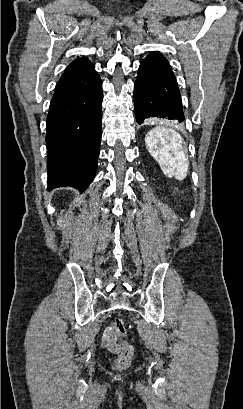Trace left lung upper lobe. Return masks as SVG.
<instances>
[{"instance_id": "1", "label": "left lung upper lobe", "mask_w": 243, "mask_h": 409, "mask_svg": "<svg viewBox=\"0 0 243 409\" xmlns=\"http://www.w3.org/2000/svg\"><path fill=\"white\" fill-rule=\"evenodd\" d=\"M144 60L155 61V62L169 66V63L166 60V58L161 53H158V52L150 53Z\"/></svg>"}]
</instances>
